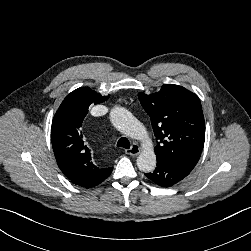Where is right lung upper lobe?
Segmentation results:
<instances>
[{"label": "right lung upper lobe", "instance_id": "cb5924a9", "mask_svg": "<svg viewBox=\"0 0 251 251\" xmlns=\"http://www.w3.org/2000/svg\"><path fill=\"white\" fill-rule=\"evenodd\" d=\"M108 97L80 87L63 100L53 118L51 138L57 164L71 182L84 188L96 186L111 171L92 162L91 150L81 131L89 106Z\"/></svg>", "mask_w": 251, "mask_h": 251}]
</instances>
